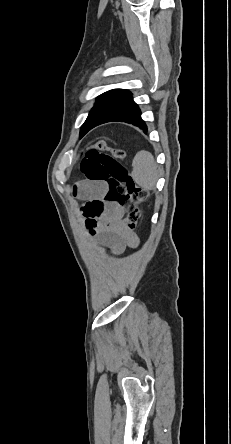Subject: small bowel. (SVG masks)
<instances>
[{"label": "small bowel", "instance_id": "1", "mask_svg": "<svg viewBox=\"0 0 231 444\" xmlns=\"http://www.w3.org/2000/svg\"><path fill=\"white\" fill-rule=\"evenodd\" d=\"M106 185L103 182L82 181L74 189V193L87 201L101 202L102 211L98 218L96 231L101 241L116 253H121L129 246L137 247L138 237L128 230L123 222L124 209L113 201L104 200Z\"/></svg>", "mask_w": 231, "mask_h": 444}]
</instances>
